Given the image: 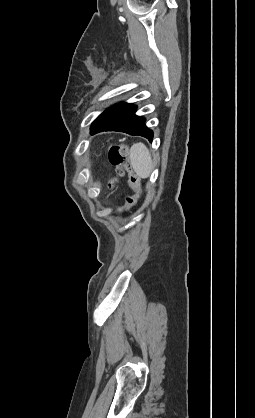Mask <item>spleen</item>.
I'll list each match as a JSON object with an SVG mask.
<instances>
[{"label": "spleen", "instance_id": "3e777b00", "mask_svg": "<svg viewBox=\"0 0 255 418\" xmlns=\"http://www.w3.org/2000/svg\"><path fill=\"white\" fill-rule=\"evenodd\" d=\"M130 163L135 173L143 179L149 177L152 172V158L148 148L141 142L135 143L130 148Z\"/></svg>", "mask_w": 255, "mask_h": 418}]
</instances>
